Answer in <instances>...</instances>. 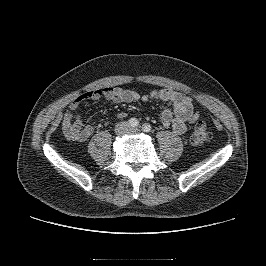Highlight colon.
I'll use <instances>...</instances> for the list:
<instances>
[{"instance_id": "obj_1", "label": "colon", "mask_w": 266, "mask_h": 266, "mask_svg": "<svg viewBox=\"0 0 266 266\" xmlns=\"http://www.w3.org/2000/svg\"><path fill=\"white\" fill-rule=\"evenodd\" d=\"M211 139V132L205 122L199 121L191 134L190 141L193 145L200 146Z\"/></svg>"}]
</instances>
